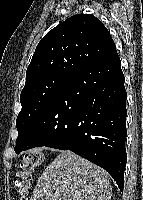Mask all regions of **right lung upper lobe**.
<instances>
[{
	"mask_svg": "<svg viewBox=\"0 0 143 200\" xmlns=\"http://www.w3.org/2000/svg\"><path fill=\"white\" fill-rule=\"evenodd\" d=\"M116 50L114 41L93 15H74L38 43L26 71V84L52 74L73 75Z\"/></svg>",
	"mask_w": 143,
	"mask_h": 200,
	"instance_id": "cb5924a9",
	"label": "right lung upper lobe"
}]
</instances>
